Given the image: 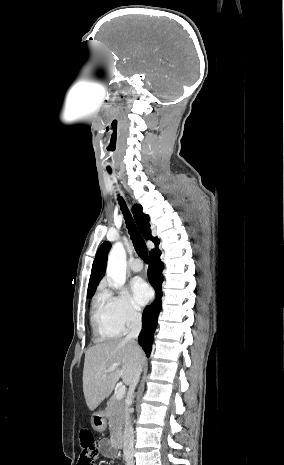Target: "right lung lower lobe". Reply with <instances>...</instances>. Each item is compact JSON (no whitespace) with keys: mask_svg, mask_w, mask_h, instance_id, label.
Segmentation results:
<instances>
[{"mask_svg":"<svg viewBox=\"0 0 284 465\" xmlns=\"http://www.w3.org/2000/svg\"><path fill=\"white\" fill-rule=\"evenodd\" d=\"M160 254L161 252L158 247L152 250L149 254L148 279L156 290V300L153 304L147 306L143 312V326L138 338L139 344L144 349L147 357H149L151 352L153 335L157 326V318L161 310V284L164 279L162 275L164 265L159 259Z\"/></svg>","mask_w":284,"mask_h":465,"instance_id":"right-lung-lower-lobe-1","label":"right lung lower lobe"}]
</instances>
